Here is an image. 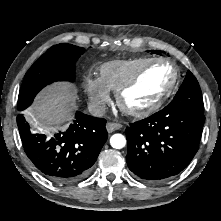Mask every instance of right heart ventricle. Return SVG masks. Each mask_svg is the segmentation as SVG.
<instances>
[{
  "label": "right heart ventricle",
  "mask_w": 221,
  "mask_h": 221,
  "mask_svg": "<svg viewBox=\"0 0 221 221\" xmlns=\"http://www.w3.org/2000/svg\"><path fill=\"white\" fill-rule=\"evenodd\" d=\"M151 58L111 60L100 66L101 81L110 91H117L141 66Z\"/></svg>",
  "instance_id": "1"
}]
</instances>
